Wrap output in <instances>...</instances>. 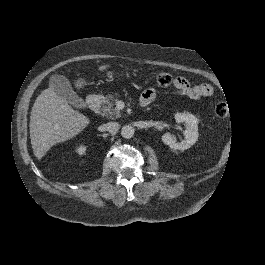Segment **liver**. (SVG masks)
<instances>
[{
	"label": "liver",
	"mask_w": 265,
	"mask_h": 265,
	"mask_svg": "<svg viewBox=\"0 0 265 265\" xmlns=\"http://www.w3.org/2000/svg\"><path fill=\"white\" fill-rule=\"evenodd\" d=\"M109 63L97 67V72L111 69ZM91 119L72 108L58 96L55 88L45 89L36 99L31 112L30 139L33 154L38 161L59 143L79 135Z\"/></svg>",
	"instance_id": "1"
}]
</instances>
